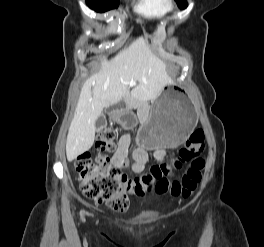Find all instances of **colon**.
Listing matches in <instances>:
<instances>
[{"instance_id": "obj_1", "label": "colon", "mask_w": 264, "mask_h": 247, "mask_svg": "<svg viewBox=\"0 0 264 247\" xmlns=\"http://www.w3.org/2000/svg\"><path fill=\"white\" fill-rule=\"evenodd\" d=\"M204 138L203 130L194 131L170 163L154 165L150 172L140 178L129 179L110 165L109 155L115 148L116 132L110 125H106L97 135L98 154L95 160L85 153L76 161L80 190L87 198L106 204L117 212L127 211L132 197L143 198L150 192L189 197L202 178L205 166V160L201 157ZM189 162L190 167L180 180H168L174 169H181Z\"/></svg>"}]
</instances>
